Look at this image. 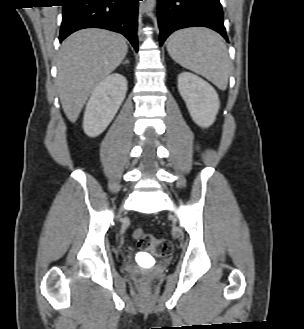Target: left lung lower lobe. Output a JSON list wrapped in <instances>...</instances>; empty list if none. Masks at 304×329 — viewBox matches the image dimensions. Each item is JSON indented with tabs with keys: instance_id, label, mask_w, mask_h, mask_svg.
Segmentation results:
<instances>
[{
	"instance_id": "left-lung-lower-lobe-1",
	"label": "left lung lower lobe",
	"mask_w": 304,
	"mask_h": 329,
	"mask_svg": "<svg viewBox=\"0 0 304 329\" xmlns=\"http://www.w3.org/2000/svg\"><path fill=\"white\" fill-rule=\"evenodd\" d=\"M160 45L175 30L203 26L220 33L228 41L219 0H158Z\"/></svg>"
}]
</instances>
